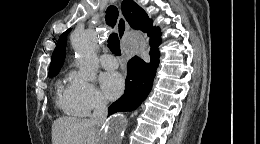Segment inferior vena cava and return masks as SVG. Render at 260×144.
<instances>
[{"label":"inferior vena cava","instance_id":"1","mask_svg":"<svg viewBox=\"0 0 260 144\" xmlns=\"http://www.w3.org/2000/svg\"><path fill=\"white\" fill-rule=\"evenodd\" d=\"M107 113L108 110H107L106 102L101 99L97 100L94 107V111L89 120L90 124L93 126L100 127L105 122Z\"/></svg>","mask_w":260,"mask_h":144}]
</instances>
